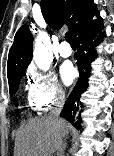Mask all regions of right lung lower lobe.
Returning <instances> with one entry per match:
<instances>
[{"instance_id":"98d812e1","label":"right lung lower lobe","mask_w":114,"mask_h":156,"mask_svg":"<svg viewBox=\"0 0 114 156\" xmlns=\"http://www.w3.org/2000/svg\"><path fill=\"white\" fill-rule=\"evenodd\" d=\"M97 15L96 20H92V17ZM103 22L99 16V12L96 11L90 19L74 34L78 52L75 57L79 68L80 78L76 83L73 91L68 97L65 105L61 111V117L68 120L74 127L80 129V112L82 103L80 102V96L87 88L88 77L91 69V62L95 59L96 53L94 47L99 43V39H103L105 32H102ZM96 33H100L96 37Z\"/></svg>"}]
</instances>
